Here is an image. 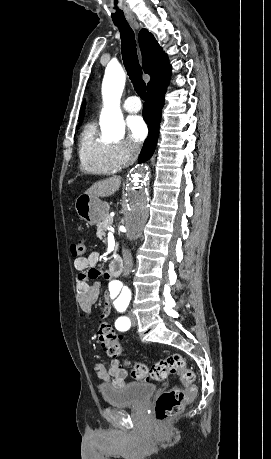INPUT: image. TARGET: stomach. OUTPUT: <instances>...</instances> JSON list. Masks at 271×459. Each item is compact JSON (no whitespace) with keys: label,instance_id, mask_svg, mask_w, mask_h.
<instances>
[{"label":"stomach","instance_id":"1","mask_svg":"<svg viewBox=\"0 0 271 459\" xmlns=\"http://www.w3.org/2000/svg\"><path fill=\"white\" fill-rule=\"evenodd\" d=\"M75 210L79 218L85 220L88 226H95L107 218L109 206L98 198H91V196L84 194V196L77 198Z\"/></svg>","mask_w":271,"mask_h":459}]
</instances>
